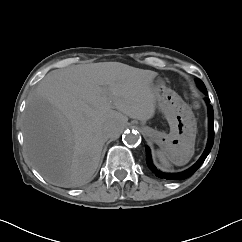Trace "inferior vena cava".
Here are the masks:
<instances>
[{"label": "inferior vena cava", "mask_w": 242, "mask_h": 242, "mask_svg": "<svg viewBox=\"0 0 242 242\" xmlns=\"http://www.w3.org/2000/svg\"><path fill=\"white\" fill-rule=\"evenodd\" d=\"M122 130V123L119 120L109 122L104 130L106 136L115 138Z\"/></svg>", "instance_id": "1"}]
</instances>
